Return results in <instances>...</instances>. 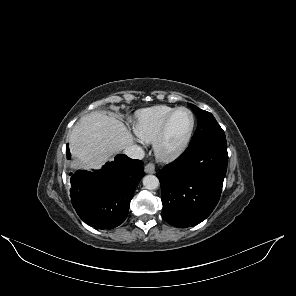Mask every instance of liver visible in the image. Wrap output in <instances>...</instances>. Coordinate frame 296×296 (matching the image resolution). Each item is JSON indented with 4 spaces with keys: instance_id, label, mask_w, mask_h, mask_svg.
<instances>
[{
    "instance_id": "1",
    "label": "liver",
    "mask_w": 296,
    "mask_h": 296,
    "mask_svg": "<svg viewBox=\"0 0 296 296\" xmlns=\"http://www.w3.org/2000/svg\"><path fill=\"white\" fill-rule=\"evenodd\" d=\"M69 143L75 168L99 169L113 152L131 146L134 138L121 121L92 112L74 126Z\"/></svg>"
}]
</instances>
